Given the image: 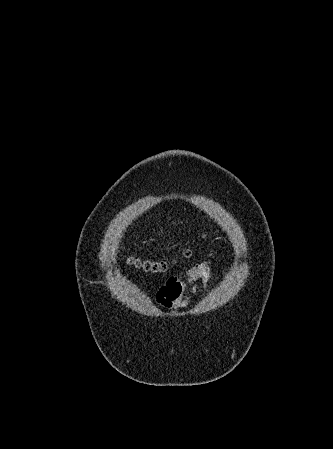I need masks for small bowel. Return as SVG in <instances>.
Returning a JSON list of instances; mask_svg holds the SVG:
<instances>
[{
  "mask_svg": "<svg viewBox=\"0 0 333 449\" xmlns=\"http://www.w3.org/2000/svg\"><path fill=\"white\" fill-rule=\"evenodd\" d=\"M216 277L211 272V262L203 261L190 267L180 276L170 277L156 294V302L167 310L183 307L186 299L197 291L199 284L208 290Z\"/></svg>",
  "mask_w": 333,
  "mask_h": 449,
  "instance_id": "c3829d8e",
  "label": "small bowel"
}]
</instances>
